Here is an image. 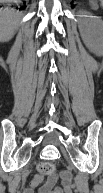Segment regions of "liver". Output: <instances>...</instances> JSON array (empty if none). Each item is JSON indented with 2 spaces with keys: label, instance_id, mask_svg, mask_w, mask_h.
Returning a JSON list of instances; mask_svg holds the SVG:
<instances>
[{
  "label": "liver",
  "instance_id": "1",
  "mask_svg": "<svg viewBox=\"0 0 103 193\" xmlns=\"http://www.w3.org/2000/svg\"><path fill=\"white\" fill-rule=\"evenodd\" d=\"M6 2H12L15 0H4ZM20 20V14L13 9H4L1 12V40L6 42L14 35L17 29L18 22Z\"/></svg>",
  "mask_w": 103,
  "mask_h": 193
}]
</instances>
